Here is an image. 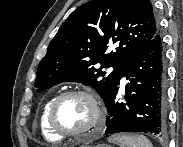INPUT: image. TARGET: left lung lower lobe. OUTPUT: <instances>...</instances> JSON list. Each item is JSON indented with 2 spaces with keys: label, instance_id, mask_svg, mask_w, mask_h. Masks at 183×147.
<instances>
[{
  "label": "left lung lower lobe",
  "instance_id": "1",
  "mask_svg": "<svg viewBox=\"0 0 183 147\" xmlns=\"http://www.w3.org/2000/svg\"><path fill=\"white\" fill-rule=\"evenodd\" d=\"M126 76L123 100L117 98L120 79ZM165 65L161 38L157 34L124 64L105 105L106 134L166 131Z\"/></svg>",
  "mask_w": 183,
  "mask_h": 147
}]
</instances>
